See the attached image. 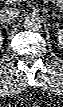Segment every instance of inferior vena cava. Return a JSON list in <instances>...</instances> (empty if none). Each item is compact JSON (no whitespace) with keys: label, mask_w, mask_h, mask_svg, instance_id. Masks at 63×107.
Masks as SVG:
<instances>
[{"label":"inferior vena cava","mask_w":63,"mask_h":107,"mask_svg":"<svg viewBox=\"0 0 63 107\" xmlns=\"http://www.w3.org/2000/svg\"><path fill=\"white\" fill-rule=\"evenodd\" d=\"M18 16V11L14 8H6L0 11V24H10Z\"/></svg>","instance_id":"inferior-vena-cava-1"}]
</instances>
